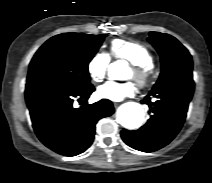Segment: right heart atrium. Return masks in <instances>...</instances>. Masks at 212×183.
<instances>
[{"instance_id": "1", "label": "right heart atrium", "mask_w": 212, "mask_h": 183, "mask_svg": "<svg viewBox=\"0 0 212 183\" xmlns=\"http://www.w3.org/2000/svg\"><path fill=\"white\" fill-rule=\"evenodd\" d=\"M110 57L103 52L96 53L87 64V71L94 82H101L107 75Z\"/></svg>"}]
</instances>
